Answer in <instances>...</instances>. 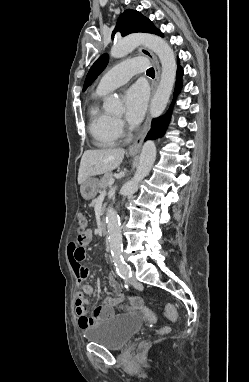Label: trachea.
<instances>
[{
  "label": "trachea",
  "mask_w": 249,
  "mask_h": 382,
  "mask_svg": "<svg viewBox=\"0 0 249 382\" xmlns=\"http://www.w3.org/2000/svg\"><path fill=\"white\" fill-rule=\"evenodd\" d=\"M146 73L147 75H155V71L153 68H149Z\"/></svg>",
  "instance_id": "3493384b"
}]
</instances>
